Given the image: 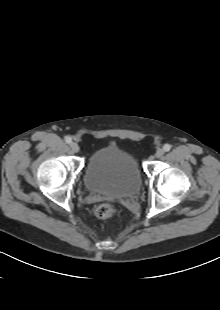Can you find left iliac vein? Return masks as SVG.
Listing matches in <instances>:
<instances>
[{
  "mask_svg": "<svg viewBox=\"0 0 220 310\" xmlns=\"http://www.w3.org/2000/svg\"><path fill=\"white\" fill-rule=\"evenodd\" d=\"M164 155V150L163 149H158L155 153V156L157 158H161Z\"/></svg>",
  "mask_w": 220,
  "mask_h": 310,
  "instance_id": "left-iliac-vein-1",
  "label": "left iliac vein"
}]
</instances>
